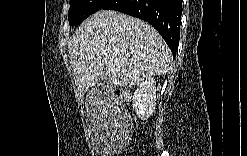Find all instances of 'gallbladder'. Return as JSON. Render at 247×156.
<instances>
[{
    "label": "gallbladder",
    "instance_id": "bac80fb5",
    "mask_svg": "<svg viewBox=\"0 0 247 156\" xmlns=\"http://www.w3.org/2000/svg\"><path fill=\"white\" fill-rule=\"evenodd\" d=\"M99 84L100 85H106V89L108 88L109 90L112 89L114 86L111 83L110 79L108 78V76H102L99 79Z\"/></svg>",
    "mask_w": 247,
    "mask_h": 156
}]
</instances>
